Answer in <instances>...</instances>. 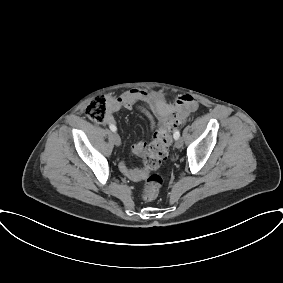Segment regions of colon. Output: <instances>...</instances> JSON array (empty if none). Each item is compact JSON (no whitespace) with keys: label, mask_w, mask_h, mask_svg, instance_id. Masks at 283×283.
<instances>
[{"label":"colon","mask_w":283,"mask_h":283,"mask_svg":"<svg viewBox=\"0 0 283 283\" xmlns=\"http://www.w3.org/2000/svg\"><path fill=\"white\" fill-rule=\"evenodd\" d=\"M193 108V103H182L178 112L162 123L143 157L144 164L148 169L158 168L166 158L171 144V135L173 131L187 120L189 112ZM85 113L90 120L96 123H103L108 115L106 100L103 98H96L91 101L86 107ZM161 184L162 180L158 175L152 174L148 176L142 190L143 198L148 201L154 200L159 194Z\"/></svg>","instance_id":"colon-1"}]
</instances>
